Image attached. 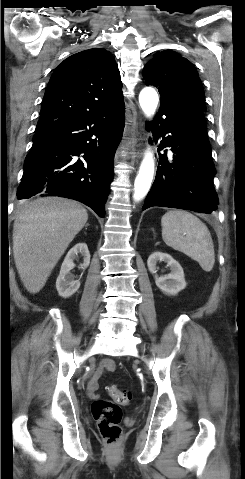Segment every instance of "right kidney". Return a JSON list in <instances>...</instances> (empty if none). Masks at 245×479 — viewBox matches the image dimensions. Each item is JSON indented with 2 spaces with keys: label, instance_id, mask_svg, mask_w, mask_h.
Segmentation results:
<instances>
[{
  "label": "right kidney",
  "instance_id": "obj_1",
  "mask_svg": "<svg viewBox=\"0 0 245 479\" xmlns=\"http://www.w3.org/2000/svg\"><path fill=\"white\" fill-rule=\"evenodd\" d=\"M78 254L83 257V263L80 264L81 269L87 268L90 264V253L85 243H78L69 250L56 280V289L59 296L63 298L72 296L80 287V281L75 280V276L71 273V270L75 267L73 261L78 257Z\"/></svg>",
  "mask_w": 245,
  "mask_h": 479
}]
</instances>
